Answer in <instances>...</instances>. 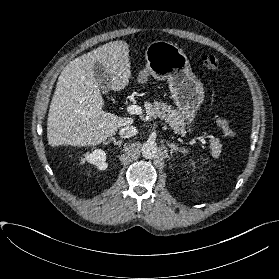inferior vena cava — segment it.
<instances>
[{
  "mask_svg": "<svg viewBox=\"0 0 279 279\" xmlns=\"http://www.w3.org/2000/svg\"><path fill=\"white\" fill-rule=\"evenodd\" d=\"M137 134V129L135 126L126 125L119 131V136L121 138H130Z\"/></svg>",
  "mask_w": 279,
  "mask_h": 279,
  "instance_id": "1",
  "label": "inferior vena cava"
}]
</instances>
